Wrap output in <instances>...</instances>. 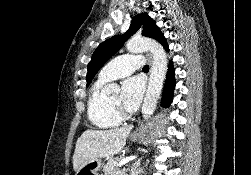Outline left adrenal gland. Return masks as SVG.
I'll use <instances>...</instances> for the list:
<instances>
[{
  "instance_id": "left-adrenal-gland-1",
  "label": "left adrenal gland",
  "mask_w": 251,
  "mask_h": 175,
  "mask_svg": "<svg viewBox=\"0 0 251 175\" xmlns=\"http://www.w3.org/2000/svg\"><path fill=\"white\" fill-rule=\"evenodd\" d=\"M141 161L142 159H138V161H135L134 167L131 171V175H138V173H141V171H144V167H141Z\"/></svg>"
}]
</instances>
